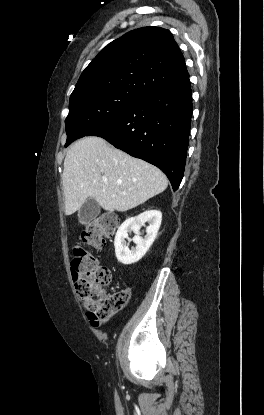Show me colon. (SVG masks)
<instances>
[{
	"mask_svg": "<svg viewBox=\"0 0 264 415\" xmlns=\"http://www.w3.org/2000/svg\"><path fill=\"white\" fill-rule=\"evenodd\" d=\"M118 223L119 217L113 213L88 222L81 234L84 247L77 248L71 260L72 273L80 276L76 288L81 305L88 319L97 326L106 323L129 300L127 290L107 292L111 271L98 264L92 251L104 246L105 240L114 235Z\"/></svg>",
	"mask_w": 264,
	"mask_h": 415,
	"instance_id": "1",
	"label": "colon"
}]
</instances>
